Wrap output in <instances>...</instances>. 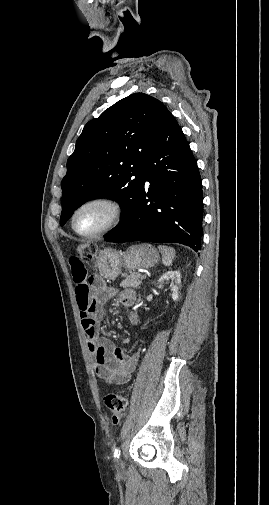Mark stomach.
Wrapping results in <instances>:
<instances>
[{"mask_svg":"<svg viewBox=\"0 0 269 505\" xmlns=\"http://www.w3.org/2000/svg\"><path fill=\"white\" fill-rule=\"evenodd\" d=\"M159 261V252L151 244L133 245L126 252L106 248L96 257V267L102 276L115 280L124 267L128 270L149 268Z\"/></svg>","mask_w":269,"mask_h":505,"instance_id":"0dacf381","label":"stomach"}]
</instances>
